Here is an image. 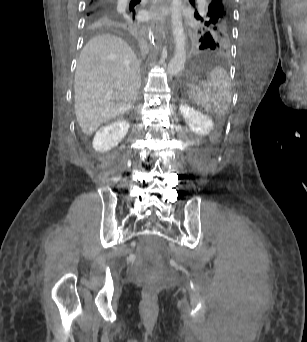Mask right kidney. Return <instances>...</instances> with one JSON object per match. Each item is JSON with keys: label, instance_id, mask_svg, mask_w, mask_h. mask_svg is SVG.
<instances>
[{"label": "right kidney", "instance_id": "right-kidney-1", "mask_svg": "<svg viewBox=\"0 0 307 342\" xmlns=\"http://www.w3.org/2000/svg\"><path fill=\"white\" fill-rule=\"evenodd\" d=\"M130 128L127 120H116L107 126L100 128L94 136L92 146L96 152H108L115 148L123 138H125Z\"/></svg>", "mask_w": 307, "mask_h": 342}]
</instances>
